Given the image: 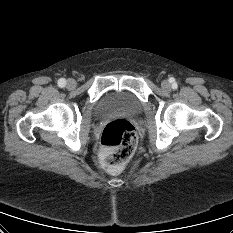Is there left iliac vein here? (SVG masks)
<instances>
[{
  "label": "left iliac vein",
  "mask_w": 233,
  "mask_h": 233,
  "mask_svg": "<svg viewBox=\"0 0 233 233\" xmlns=\"http://www.w3.org/2000/svg\"><path fill=\"white\" fill-rule=\"evenodd\" d=\"M161 87L165 91H170L171 90V84L167 80L162 81Z\"/></svg>",
  "instance_id": "4c4485c4"
}]
</instances>
